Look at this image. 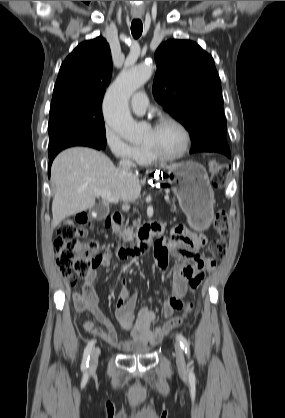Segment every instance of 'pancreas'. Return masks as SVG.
Wrapping results in <instances>:
<instances>
[{"label": "pancreas", "mask_w": 285, "mask_h": 418, "mask_svg": "<svg viewBox=\"0 0 285 418\" xmlns=\"http://www.w3.org/2000/svg\"><path fill=\"white\" fill-rule=\"evenodd\" d=\"M172 208L174 211L177 210V207L175 204L172 205ZM140 226H141L140 223L136 221H134L132 227H128V225L126 224L125 226L121 228L119 232V238H122L124 242H129L132 245H134V239L137 237V234L135 231H138Z\"/></svg>", "instance_id": "cf45deb5"}]
</instances>
